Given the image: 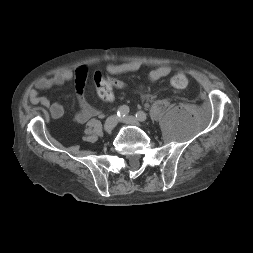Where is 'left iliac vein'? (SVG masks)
<instances>
[{"instance_id": "left-iliac-vein-1", "label": "left iliac vein", "mask_w": 253, "mask_h": 253, "mask_svg": "<svg viewBox=\"0 0 253 253\" xmlns=\"http://www.w3.org/2000/svg\"><path fill=\"white\" fill-rule=\"evenodd\" d=\"M121 120L128 125H133V126H137V127L141 126L140 122L134 116H126V117L122 118Z\"/></svg>"}]
</instances>
